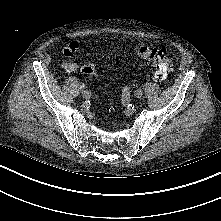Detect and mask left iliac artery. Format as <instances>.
Returning a JSON list of instances; mask_svg holds the SVG:
<instances>
[{
  "instance_id": "left-iliac-artery-1",
  "label": "left iliac artery",
  "mask_w": 221,
  "mask_h": 221,
  "mask_svg": "<svg viewBox=\"0 0 221 221\" xmlns=\"http://www.w3.org/2000/svg\"><path fill=\"white\" fill-rule=\"evenodd\" d=\"M121 102L123 106H130V92L127 87L122 90Z\"/></svg>"
}]
</instances>
